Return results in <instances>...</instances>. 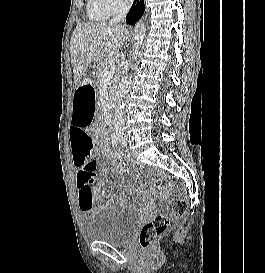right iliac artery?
I'll return each instance as SVG.
<instances>
[{"instance_id": "1", "label": "right iliac artery", "mask_w": 265, "mask_h": 273, "mask_svg": "<svg viewBox=\"0 0 265 273\" xmlns=\"http://www.w3.org/2000/svg\"><path fill=\"white\" fill-rule=\"evenodd\" d=\"M121 131H122V125H116V133L114 134L113 136V139H112V144L113 146H117L119 140H120V137H121Z\"/></svg>"}]
</instances>
